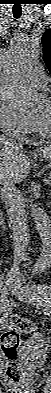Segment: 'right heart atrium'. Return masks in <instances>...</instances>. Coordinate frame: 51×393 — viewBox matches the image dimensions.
<instances>
[{
  "instance_id": "right-heart-atrium-1",
  "label": "right heart atrium",
  "mask_w": 51,
  "mask_h": 393,
  "mask_svg": "<svg viewBox=\"0 0 51 393\" xmlns=\"http://www.w3.org/2000/svg\"><path fill=\"white\" fill-rule=\"evenodd\" d=\"M34 122L24 117L4 98H0V128L14 137H26L32 131Z\"/></svg>"
}]
</instances>
